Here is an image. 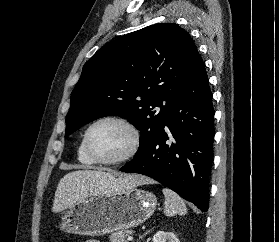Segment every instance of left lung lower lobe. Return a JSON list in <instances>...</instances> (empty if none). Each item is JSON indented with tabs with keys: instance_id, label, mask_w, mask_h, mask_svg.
I'll return each mask as SVG.
<instances>
[{
	"instance_id": "1",
	"label": "left lung lower lobe",
	"mask_w": 279,
	"mask_h": 242,
	"mask_svg": "<svg viewBox=\"0 0 279 242\" xmlns=\"http://www.w3.org/2000/svg\"><path fill=\"white\" fill-rule=\"evenodd\" d=\"M213 116L209 81L198 55L153 145L120 171L147 175L194 203L202 212L208 211Z\"/></svg>"
}]
</instances>
